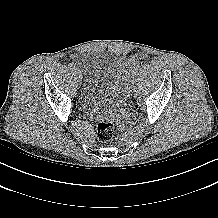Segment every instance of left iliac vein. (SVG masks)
I'll return each mask as SVG.
<instances>
[{
  "mask_svg": "<svg viewBox=\"0 0 218 218\" xmlns=\"http://www.w3.org/2000/svg\"><path fill=\"white\" fill-rule=\"evenodd\" d=\"M127 94H128V95H131V94H132V91H131V90H128V91H127Z\"/></svg>",
  "mask_w": 218,
  "mask_h": 218,
  "instance_id": "1",
  "label": "left iliac vein"
}]
</instances>
